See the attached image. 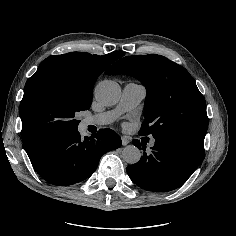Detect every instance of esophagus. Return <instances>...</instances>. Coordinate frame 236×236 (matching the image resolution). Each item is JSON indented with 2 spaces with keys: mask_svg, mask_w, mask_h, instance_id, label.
<instances>
[{
  "mask_svg": "<svg viewBox=\"0 0 236 236\" xmlns=\"http://www.w3.org/2000/svg\"><path fill=\"white\" fill-rule=\"evenodd\" d=\"M121 140H122V144H123L124 146L129 143V139H128V137H126V136H122V137H121Z\"/></svg>",
  "mask_w": 236,
  "mask_h": 236,
  "instance_id": "34e87169",
  "label": "esophagus"
}]
</instances>
